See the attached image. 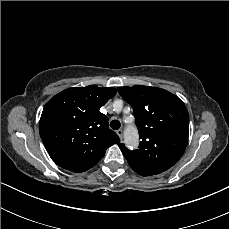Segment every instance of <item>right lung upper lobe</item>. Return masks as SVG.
<instances>
[{
  "label": "right lung upper lobe",
  "mask_w": 229,
  "mask_h": 229,
  "mask_svg": "<svg viewBox=\"0 0 229 229\" xmlns=\"http://www.w3.org/2000/svg\"><path fill=\"white\" fill-rule=\"evenodd\" d=\"M115 94L112 87H73L58 93L45 105L39 132L58 166L84 172L105 155L109 146L120 142L109 129L107 116L99 111Z\"/></svg>",
  "instance_id": "1"
}]
</instances>
